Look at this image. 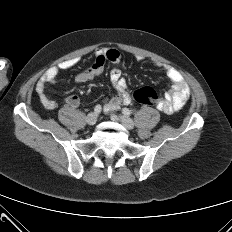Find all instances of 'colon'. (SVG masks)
<instances>
[{"mask_svg":"<svg viewBox=\"0 0 232 232\" xmlns=\"http://www.w3.org/2000/svg\"><path fill=\"white\" fill-rule=\"evenodd\" d=\"M133 98L136 102L143 105H153L157 101V93L152 87H140L133 92Z\"/></svg>","mask_w":232,"mask_h":232,"instance_id":"1","label":"colon"}]
</instances>
